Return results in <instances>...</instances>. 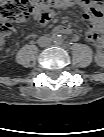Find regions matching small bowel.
I'll return each instance as SVG.
<instances>
[{
  "label": "small bowel",
  "instance_id": "small-bowel-1",
  "mask_svg": "<svg viewBox=\"0 0 104 137\" xmlns=\"http://www.w3.org/2000/svg\"><path fill=\"white\" fill-rule=\"evenodd\" d=\"M80 6L83 9L82 17L87 22V29L84 32V37L87 41L93 43L96 47L95 60L97 63H103V44L100 37V33L103 29V17L100 8L94 3V0H81ZM47 21V20H42ZM54 31L58 34H69L71 31L66 26H57ZM7 35L0 37L1 44L5 43ZM10 52L9 49L6 50Z\"/></svg>",
  "mask_w": 104,
  "mask_h": 137
}]
</instances>
